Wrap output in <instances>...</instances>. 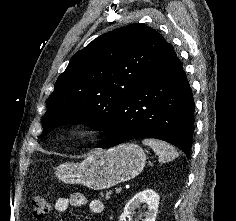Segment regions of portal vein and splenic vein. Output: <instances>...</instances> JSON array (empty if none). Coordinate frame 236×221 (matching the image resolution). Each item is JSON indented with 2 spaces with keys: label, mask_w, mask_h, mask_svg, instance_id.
I'll return each instance as SVG.
<instances>
[{
  "label": "portal vein and splenic vein",
  "mask_w": 236,
  "mask_h": 221,
  "mask_svg": "<svg viewBox=\"0 0 236 221\" xmlns=\"http://www.w3.org/2000/svg\"><path fill=\"white\" fill-rule=\"evenodd\" d=\"M121 191H122V187H117L115 190L116 193H120Z\"/></svg>",
  "instance_id": "obj_1"
}]
</instances>
